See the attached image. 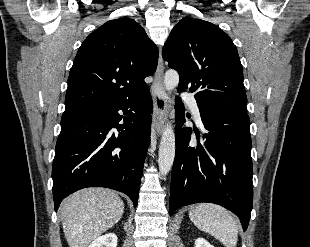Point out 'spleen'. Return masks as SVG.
Returning a JSON list of instances; mask_svg holds the SVG:
<instances>
[{
  "mask_svg": "<svg viewBox=\"0 0 310 247\" xmlns=\"http://www.w3.org/2000/svg\"><path fill=\"white\" fill-rule=\"evenodd\" d=\"M189 218L194 225L212 235L226 247H236L238 225L232 214L225 208L210 203L193 206Z\"/></svg>",
  "mask_w": 310,
  "mask_h": 247,
  "instance_id": "1",
  "label": "spleen"
}]
</instances>
